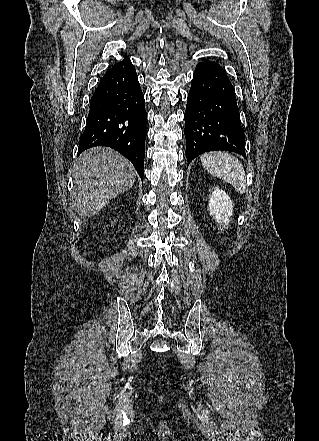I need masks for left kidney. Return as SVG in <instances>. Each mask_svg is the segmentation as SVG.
<instances>
[{"label": "left kidney", "instance_id": "5707ae66", "mask_svg": "<svg viewBox=\"0 0 319 441\" xmlns=\"http://www.w3.org/2000/svg\"><path fill=\"white\" fill-rule=\"evenodd\" d=\"M208 210L211 216L222 226L228 225L233 214V204L226 192L216 188L210 195Z\"/></svg>", "mask_w": 319, "mask_h": 441}]
</instances>
